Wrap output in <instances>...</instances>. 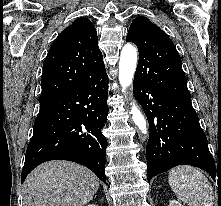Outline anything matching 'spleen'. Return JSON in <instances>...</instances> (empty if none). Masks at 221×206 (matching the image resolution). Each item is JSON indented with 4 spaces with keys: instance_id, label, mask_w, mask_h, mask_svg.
Here are the masks:
<instances>
[{
    "instance_id": "3e777b00",
    "label": "spleen",
    "mask_w": 221,
    "mask_h": 206,
    "mask_svg": "<svg viewBox=\"0 0 221 206\" xmlns=\"http://www.w3.org/2000/svg\"><path fill=\"white\" fill-rule=\"evenodd\" d=\"M168 180L175 195L189 206H213V188L200 170L178 166L169 171Z\"/></svg>"
}]
</instances>
